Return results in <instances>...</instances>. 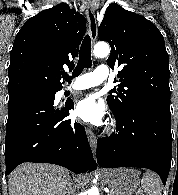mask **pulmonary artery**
Instances as JSON below:
<instances>
[{
	"instance_id": "pulmonary-artery-1",
	"label": "pulmonary artery",
	"mask_w": 178,
	"mask_h": 195,
	"mask_svg": "<svg viewBox=\"0 0 178 195\" xmlns=\"http://www.w3.org/2000/svg\"><path fill=\"white\" fill-rule=\"evenodd\" d=\"M109 77V68L106 65H100L95 71L76 77L73 82L63 89L65 91L76 92L97 86Z\"/></svg>"
}]
</instances>
